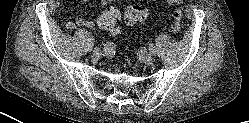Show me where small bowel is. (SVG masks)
I'll use <instances>...</instances> for the list:
<instances>
[{
    "label": "small bowel",
    "mask_w": 249,
    "mask_h": 123,
    "mask_svg": "<svg viewBox=\"0 0 249 123\" xmlns=\"http://www.w3.org/2000/svg\"><path fill=\"white\" fill-rule=\"evenodd\" d=\"M82 2H85V3H91L93 2L94 0H81ZM112 0H100V5L103 6L105 5L106 3L108 2H111ZM99 25V24H98ZM76 26H81V27H85V28H92L95 26V22L92 21V20H89V19H85L81 16H76L73 20H69L67 23H66V27L68 29H73L75 28Z\"/></svg>",
    "instance_id": "small-bowel-1"
}]
</instances>
